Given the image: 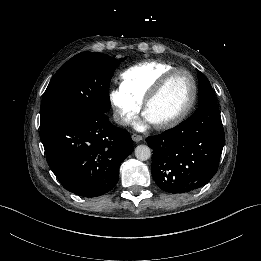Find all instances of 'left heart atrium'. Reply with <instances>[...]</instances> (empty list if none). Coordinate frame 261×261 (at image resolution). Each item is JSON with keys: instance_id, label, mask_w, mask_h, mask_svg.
Returning <instances> with one entry per match:
<instances>
[{"instance_id": "left-heart-atrium-1", "label": "left heart atrium", "mask_w": 261, "mask_h": 261, "mask_svg": "<svg viewBox=\"0 0 261 261\" xmlns=\"http://www.w3.org/2000/svg\"><path fill=\"white\" fill-rule=\"evenodd\" d=\"M150 123H151V121L147 118V116H145V117H144V121H143L142 123H139V124L137 125V127H138L139 129H143V128L147 127V125L150 124Z\"/></svg>"}]
</instances>
